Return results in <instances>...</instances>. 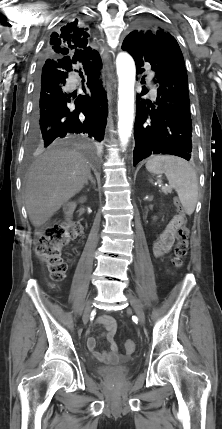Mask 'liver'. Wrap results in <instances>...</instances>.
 <instances>
[{
	"instance_id": "1",
	"label": "liver",
	"mask_w": 222,
	"mask_h": 429,
	"mask_svg": "<svg viewBox=\"0 0 222 429\" xmlns=\"http://www.w3.org/2000/svg\"><path fill=\"white\" fill-rule=\"evenodd\" d=\"M89 174L87 159L78 151L51 148L40 155L24 181L25 205L32 225H44L83 188Z\"/></svg>"
}]
</instances>
